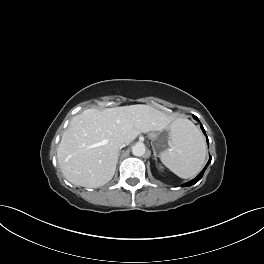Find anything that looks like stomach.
I'll use <instances>...</instances> for the list:
<instances>
[{
  "label": "stomach",
  "mask_w": 264,
  "mask_h": 264,
  "mask_svg": "<svg viewBox=\"0 0 264 264\" xmlns=\"http://www.w3.org/2000/svg\"><path fill=\"white\" fill-rule=\"evenodd\" d=\"M170 131L172 132L173 125L169 126ZM149 138L153 142V148L157 152H164L168 148L170 142V135L166 131H159L157 133L152 132L149 134Z\"/></svg>",
  "instance_id": "0dacf381"
}]
</instances>
